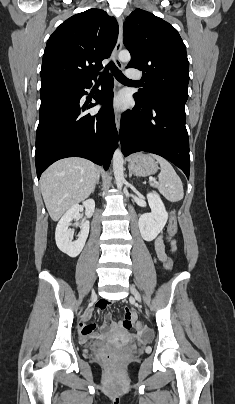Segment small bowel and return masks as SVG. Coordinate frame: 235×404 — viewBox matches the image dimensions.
Instances as JSON below:
<instances>
[{
    "label": "small bowel",
    "mask_w": 235,
    "mask_h": 404,
    "mask_svg": "<svg viewBox=\"0 0 235 404\" xmlns=\"http://www.w3.org/2000/svg\"><path fill=\"white\" fill-rule=\"evenodd\" d=\"M155 252L158 256V258L162 261L165 262L166 259L168 258L166 251H165V243H164V237L162 235L158 236L157 239L155 240ZM176 249L175 243H171V253H174ZM108 305V302L103 300L100 301L95 305L94 308H91L85 312V314L82 317V320L79 323V328L82 334V337L84 340H99L103 339L106 337H113L119 333L120 327L112 322V316L109 312L105 314L104 318V324L100 327L99 332H95L96 326L93 323H87V321L90 319L94 309L96 310H104Z\"/></svg>",
    "instance_id": "1"
}]
</instances>
